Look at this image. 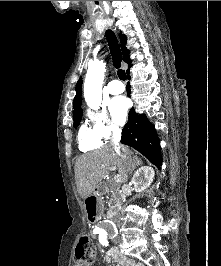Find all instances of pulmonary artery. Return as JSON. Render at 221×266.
I'll return each mask as SVG.
<instances>
[{
    "label": "pulmonary artery",
    "instance_id": "pulmonary-artery-1",
    "mask_svg": "<svg viewBox=\"0 0 221 266\" xmlns=\"http://www.w3.org/2000/svg\"><path fill=\"white\" fill-rule=\"evenodd\" d=\"M107 90L110 94L116 95L124 92L125 87L121 81L113 79L108 83Z\"/></svg>",
    "mask_w": 221,
    "mask_h": 266
}]
</instances>
